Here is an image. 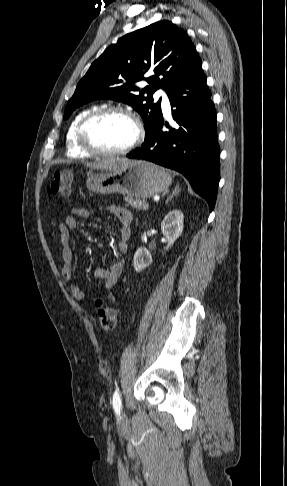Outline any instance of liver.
<instances>
[{
	"label": "liver",
	"mask_w": 287,
	"mask_h": 486,
	"mask_svg": "<svg viewBox=\"0 0 287 486\" xmlns=\"http://www.w3.org/2000/svg\"><path fill=\"white\" fill-rule=\"evenodd\" d=\"M129 161L131 160H128L127 158H110L97 163L87 162L85 165L91 169L113 171Z\"/></svg>",
	"instance_id": "1"
}]
</instances>
